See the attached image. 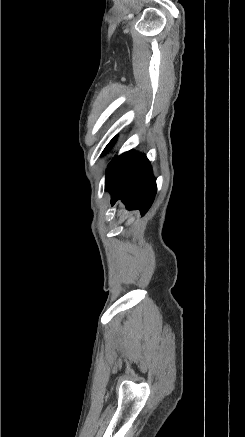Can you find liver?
Returning <instances> with one entry per match:
<instances>
[{"label":"liver","instance_id":"1","mask_svg":"<svg viewBox=\"0 0 245 437\" xmlns=\"http://www.w3.org/2000/svg\"><path fill=\"white\" fill-rule=\"evenodd\" d=\"M133 221H134V218H133V217H130V218L128 219V221L126 222V225H130Z\"/></svg>","mask_w":245,"mask_h":437}]
</instances>
